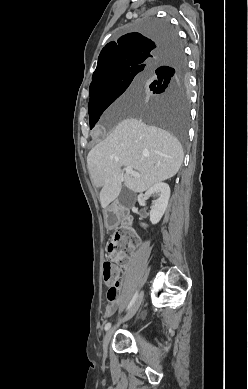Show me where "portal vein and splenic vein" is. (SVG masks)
<instances>
[{"instance_id":"obj_1","label":"portal vein and splenic vein","mask_w":248,"mask_h":389,"mask_svg":"<svg viewBox=\"0 0 248 389\" xmlns=\"http://www.w3.org/2000/svg\"><path fill=\"white\" fill-rule=\"evenodd\" d=\"M124 171L125 173L127 174H130V175H133L135 177H140L141 175L139 173H137L136 171L133 170V168L131 166H126L124 168Z\"/></svg>"}]
</instances>
